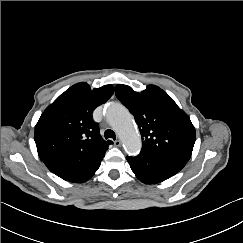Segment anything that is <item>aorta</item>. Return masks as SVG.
<instances>
[{"label":"aorta","instance_id":"obj_1","mask_svg":"<svg viewBox=\"0 0 243 243\" xmlns=\"http://www.w3.org/2000/svg\"><path fill=\"white\" fill-rule=\"evenodd\" d=\"M110 125L118 132L128 154L136 155L141 149V140L128 110L119 103L110 104L106 111Z\"/></svg>","mask_w":243,"mask_h":243}]
</instances>
